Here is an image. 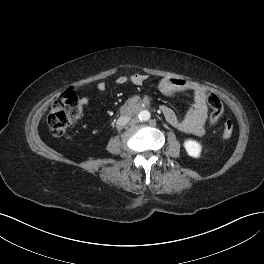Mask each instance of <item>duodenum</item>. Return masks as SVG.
I'll return each instance as SVG.
<instances>
[{"label":"duodenum","instance_id":"1","mask_svg":"<svg viewBox=\"0 0 264 264\" xmlns=\"http://www.w3.org/2000/svg\"><path fill=\"white\" fill-rule=\"evenodd\" d=\"M142 104H149V101H148V99H146L145 101H143L142 103H140L139 105H138V109H141L142 108ZM130 114H131V110L129 109V108H125V109H123L122 110V116L124 117V118H127V117H129L130 116Z\"/></svg>","mask_w":264,"mask_h":264}]
</instances>
